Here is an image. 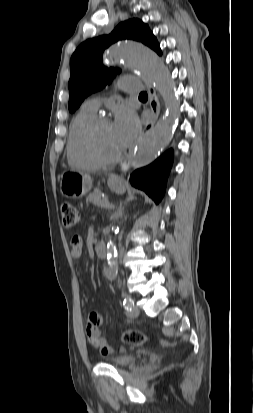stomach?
<instances>
[{
    "instance_id": "1",
    "label": "stomach",
    "mask_w": 253,
    "mask_h": 413,
    "mask_svg": "<svg viewBox=\"0 0 253 413\" xmlns=\"http://www.w3.org/2000/svg\"><path fill=\"white\" fill-rule=\"evenodd\" d=\"M110 189L123 194L126 186L122 180L109 181ZM92 187V179L88 174L82 172H63L60 181L61 193L66 197L80 198L87 194Z\"/></svg>"
}]
</instances>
